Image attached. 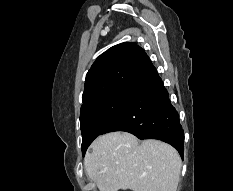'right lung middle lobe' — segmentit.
<instances>
[{
    "mask_svg": "<svg viewBox=\"0 0 233 191\" xmlns=\"http://www.w3.org/2000/svg\"><path fill=\"white\" fill-rule=\"evenodd\" d=\"M129 92L123 91L106 96L81 108L80 127L82 132V154L101 131L124 108Z\"/></svg>",
    "mask_w": 233,
    "mask_h": 191,
    "instance_id": "obj_1",
    "label": "right lung middle lobe"
}]
</instances>
